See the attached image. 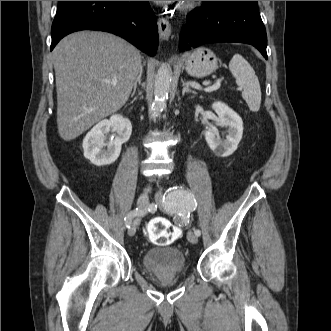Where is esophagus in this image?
<instances>
[{"mask_svg": "<svg viewBox=\"0 0 331 331\" xmlns=\"http://www.w3.org/2000/svg\"><path fill=\"white\" fill-rule=\"evenodd\" d=\"M158 30L160 38L163 40H168L171 36V25L167 19L164 17L158 18Z\"/></svg>", "mask_w": 331, "mask_h": 331, "instance_id": "esophagus-1", "label": "esophagus"}]
</instances>
